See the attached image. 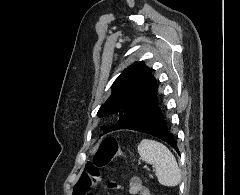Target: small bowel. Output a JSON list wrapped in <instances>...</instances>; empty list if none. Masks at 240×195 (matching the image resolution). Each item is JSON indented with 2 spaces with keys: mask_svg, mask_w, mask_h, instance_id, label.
Listing matches in <instances>:
<instances>
[{
  "mask_svg": "<svg viewBox=\"0 0 240 195\" xmlns=\"http://www.w3.org/2000/svg\"><path fill=\"white\" fill-rule=\"evenodd\" d=\"M120 189V186H115V190ZM128 191L131 195H151L150 190L142 184L139 177L130 178Z\"/></svg>",
  "mask_w": 240,
  "mask_h": 195,
  "instance_id": "obj_1",
  "label": "small bowel"
}]
</instances>
